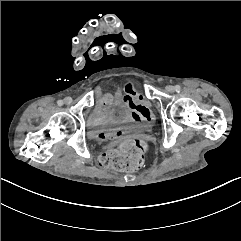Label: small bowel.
<instances>
[{
    "instance_id": "obj_1",
    "label": "small bowel",
    "mask_w": 241,
    "mask_h": 241,
    "mask_svg": "<svg viewBox=\"0 0 241 241\" xmlns=\"http://www.w3.org/2000/svg\"><path fill=\"white\" fill-rule=\"evenodd\" d=\"M112 103L110 95H103L98 101L96 114L103 117ZM123 112H128L126 120L133 123L138 128L150 126L155 121V115L145 96L137 94L132 83L124 86V95L118 107ZM98 140L122 139L130 136L131 131L125 126H108L105 129L92 132L91 134Z\"/></svg>"
}]
</instances>
